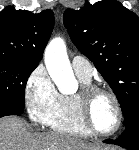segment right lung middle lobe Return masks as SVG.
Masks as SVG:
<instances>
[{"instance_id":"1","label":"right lung middle lobe","mask_w":139,"mask_h":150,"mask_svg":"<svg viewBox=\"0 0 139 150\" xmlns=\"http://www.w3.org/2000/svg\"><path fill=\"white\" fill-rule=\"evenodd\" d=\"M37 66L20 60L0 58V108H13L23 113L25 86Z\"/></svg>"}]
</instances>
